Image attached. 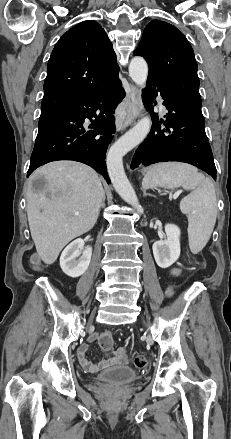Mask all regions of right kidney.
<instances>
[{
    "label": "right kidney",
    "instance_id": "ca27d5eb",
    "mask_svg": "<svg viewBox=\"0 0 231 439\" xmlns=\"http://www.w3.org/2000/svg\"><path fill=\"white\" fill-rule=\"evenodd\" d=\"M83 247L84 240L76 239L63 250L60 256L62 271L72 278L81 276L89 267L92 248L87 246L84 251H81Z\"/></svg>",
    "mask_w": 231,
    "mask_h": 439
}]
</instances>
